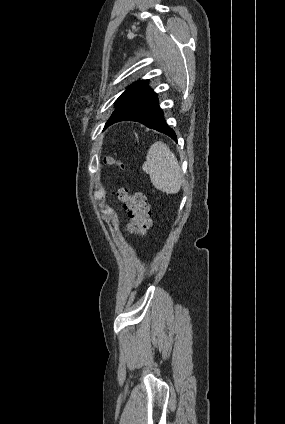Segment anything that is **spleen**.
I'll list each match as a JSON object with an SVG mask.
<instances>
[{"label":"spleen","mask_w":285,"mask_h":424,"mask_svg":"<svg viewBox=\"0 0 285 424\" xmlns=\"http://www.w3.org/2000/svg\"><path fill=\"white\" fill-rule=\"evenodd\" d=\"M142 169L149 174L153 186L166 193L175 194L182 186V171L177 158L168 145L161 141L148 150Z\"/></svg>","instance_id":"1"}]
</instances>
